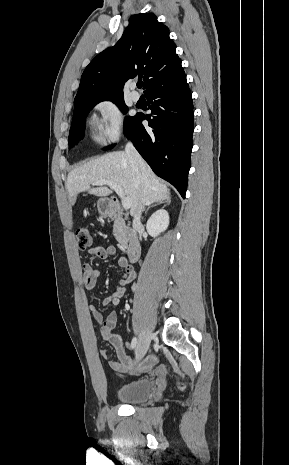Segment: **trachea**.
<instances>
[{
  "instance_id": "obj_1",
  "label": "trachea",
  "mask_w": 289,
  "mask_h": 465,
  "mask_svg": "<svg viewBox=\"0 0 289 465\" xmlns=\"http://www.w3.org/2000/svg\"><path fill=\"white\" fill-rule=\"evenodd\" d=\"M142 85H143V82H142V81H138V82H137V87H138V88H141Z\"/></svg>"
}]
</instances>
